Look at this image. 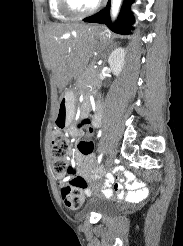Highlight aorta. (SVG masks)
<instances>
[{
  "mask_svg": "<svg viewBox=\"0 0 183 246\" xmlns=\"http://www.w3.org/2000/svg\"><path fill=\"white\" fill-rule=\"evenodd\" d=\"M122 0H111V16L112 19H115L119 13Z\"/></svg>",
  "mask_w": 183,
  "mask_h": 246,
  "instance_id": "obj_1",
  "label": "aorta"
}]
</instances>
